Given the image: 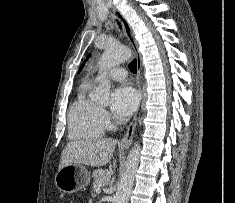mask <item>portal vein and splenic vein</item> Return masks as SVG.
I'll list each match as a JSON object with an SVG mask.
<instances>
[{
    "mask_svg": "<svg viewBox=\"0 0 235 203\" xmlns=\"http://www.w3.org/2000/svg\"><path fill=\"white\" fill-rule=\"evenodd\" d=\"M100 192H101V189H100V188H97V189H96V193L99 194Z\"/></svg>",
    "mask_w": 235,
    "mask_h": 203,
    "instance_id": "portal-vein-and-splenic-vein-1",
    "label": "portal vein and splenic vein"
}]
</instances>
